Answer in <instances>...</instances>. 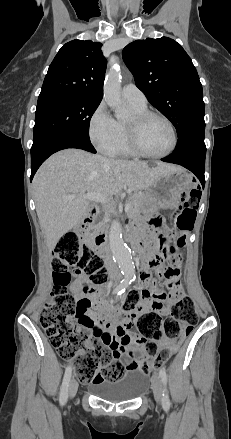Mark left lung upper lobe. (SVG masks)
Returning <instances> with one entry per match:
<instances>
[{
  "instance_id": "obj_1",
  "label": "left lung upper lobe",
  "mask_w": 231,
  "mask_h": 439,
  "mask_svg": "<svg viewBox=\"0 0 231 439\" xmlns=\"http://www.w3.org/2000/svg\"><path fill=\"white\" fill-rule=\"evenodd\" d=\"M122 55L136 86L172 122L178 136L190 125L205 123L202 85L179 43L168 37L137 40Z\"/></svg>"
}]
</instances>
